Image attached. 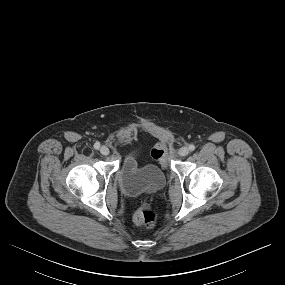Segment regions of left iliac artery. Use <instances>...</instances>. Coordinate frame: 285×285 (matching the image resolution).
<instances>
[{"mask_svg":"<svg viewBox=\"0 0 285 285\" xmlns=\"http://www.w3.org/2000/svg\"><path fill=\"white\" fill-rule=\"evenodd\" d=\"M195 148H196L195 145H193V144L189 145V150H190V151H194Z\"/></svg>","mask_w":285,"mask_h":285,"instance_id":"left-iliac-artery-1","label":"left iliac artery"}]
</instances>
